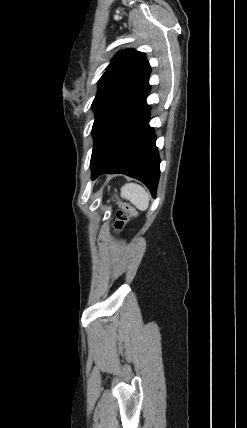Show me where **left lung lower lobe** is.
Here are the masks:
<instances>
[{"mask_svg":"<svg viewBox=\"0 0 247 428\" xmlns=\"http://www.w3.org/2000/svg\"><path fill=\"white\" fill-rule=\"evenodd\" d=\"M150 87L123 105L98 133L91 156V177L122 173L143 182L156 196L160 158L149 126Z\"/></svg>","mask_w":247,"mask_h":428,"instance_id":"1","label":"left lung lower lobe"}]
</instances>
